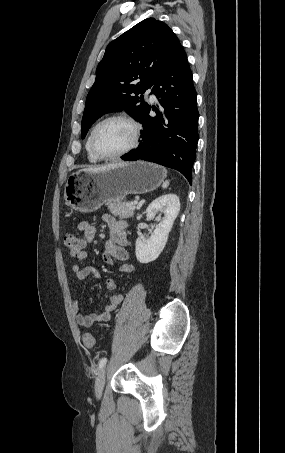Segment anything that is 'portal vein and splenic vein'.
I'll return each instance as SVG.
<instances>
[{
  "label": "portal vein and splenic vein",
  "mask_w": 285,
  "mask_h": 453,
  "mask_svg": "<svg viewBox=\"0 0 285 453\" xmlns=\"http://www.w3.org/2000/svg\"><path fill=\"white\" fill-rule=\"evenodd\" d=\"M136 204H137V202H133V203H131V204H130V206H129V208H130V209H133V210H134V209H135V205H136Z\"/></svg>",
  "instance_id": "portal-vein-and-splenic-vein-1"
}]
</instances>
